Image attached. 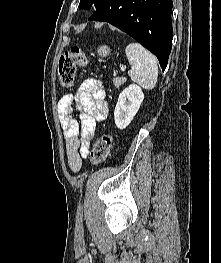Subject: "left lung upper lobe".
Here are the masks:
<instances>
[{"instance_id": "5c2ea615", "label": "left lung upper lobe", "mask_w": 221, "mask_h": 263, "mask_svg": "<svg viewBox=\"0 0 221 263\" xmlns=\"http://www.w3.org/2000/svg\"><path fill=\"white\" fill-rule=\"evenodd\" d=\"M104 1L105 0H80L79 8L90 9L93 4L98 8Z\"/></svg>"}]
</instances>
